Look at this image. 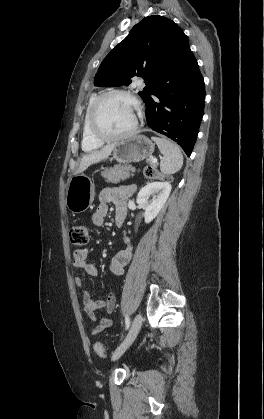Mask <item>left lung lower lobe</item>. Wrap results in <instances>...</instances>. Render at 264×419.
Masks as SVG:
<instances>
[{"instance_id":"1","label":"left lung lower lobe","mask_w":264,"mask_h":419,"mask_svg":"<svg viewBox=\"0 0 264 419\" xmlns=\"http://www.w3.org/2000/svg\"><path fill=\"white\" fill-rule=\"evenodd\" d=\"M172 65L145 99L147 125L177 142L190 156L204 110V79L183 33L170 44Z\"/></svg>"}]
</instances>
